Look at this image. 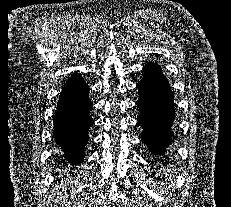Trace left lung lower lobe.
Wrapping results in <instances>:
<instances>
[{
	"instance_id": "1",
	"label": "left lung lower lobe",
	"mask_w": 231,
	"mask_h": 207,
	"mask_svg": "<svg viewBox=\"0 0 231 207\" xmlns=\"http://www.w3.org/2000/svg\"><path fill=\"white\" fill-rule=\"evenodd\" d=\"M144 77L137 84L140 96L136 103L140 110L138 122L143 128L142 142L151 154L162 155L171 144V126L175 118L173 92L159 66L148 63L143 67Z\"/></svg>"
}]
</instances>
